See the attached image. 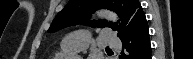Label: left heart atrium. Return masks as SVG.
Instances as JSON below:
<instances>
[{"label":"left heart atrium","instance_id":"obj_1","mask_svg":"<svg viewBox=\"0 0 193 59\" xmlns=\"http://www.w3.org/2000/svg\"><path fill=\"white\" fill-rule=\"evenodd\" d=\"M89 59H98L97 58V56L96 55H92V56H90V58Z\"/></svg>","mask_w":193,"mask_h":59}]
</instances>
